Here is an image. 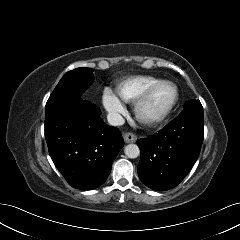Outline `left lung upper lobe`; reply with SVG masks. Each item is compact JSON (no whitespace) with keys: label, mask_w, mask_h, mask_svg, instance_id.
<instances>
[{"label":"left lung upper lobe","mask_w":240,"mask_h":240,"mask_svg":"<svg viewBox=\"0 0 240 240\" xmlns=\"http://www.w3.org/2000/svg\"><path fill=\"white\" fill-rule=\"evenodd\" d=\"M198 103H200L199 100H192L190 103L187 102V103L185 104V106L190 105V104H198Z\"/></svg>","instance_id":"1"}]
</instances>
